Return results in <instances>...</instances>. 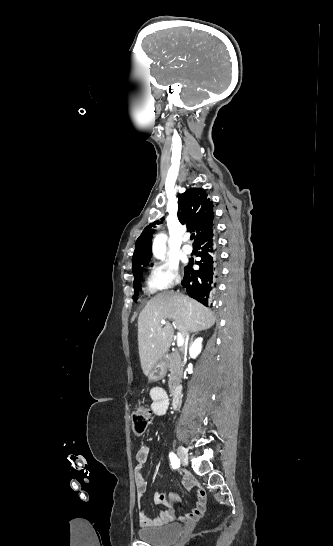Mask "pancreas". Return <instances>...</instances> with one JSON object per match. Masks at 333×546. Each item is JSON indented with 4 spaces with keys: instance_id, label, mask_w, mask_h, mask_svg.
<instances>
[{
    "instance_id": "1",
    "label": "pancreas",
    "mask_w": 333,
    "mask_h": 546,
    "mask_svg": "<svg viewBox=\"0 0 333 546\" xmlns=\"http://www.w3.org/2000/svg\"><path fill=\"white\" fill-rule=\"evenodd\" d=\"M166 366L169 369V388L173 392L177 386H179L182 373H183V361L179 352H172L169 358L166 360Z\"/></svg>"
}]
</instances>
